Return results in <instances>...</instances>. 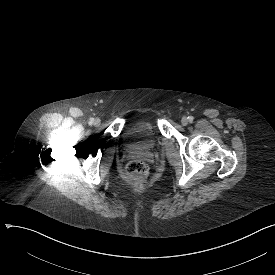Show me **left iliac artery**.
<instances>
[{
    "mask_svg": "<svg viewBox=\"0 0 275 275\" xmlns=\"http://www.w3.org/2000/svg\"><path fill=\"white\" fill-rule=\"evenodd\" d=\"M188 120H189V122H193V120H194L193 116H188Z\"/></svg>",
    "mask_w": 275,
    "mask_h": 275,
    "instance_id": "obj_1",
    "label": "left iliac artery"
}]
</instances>
